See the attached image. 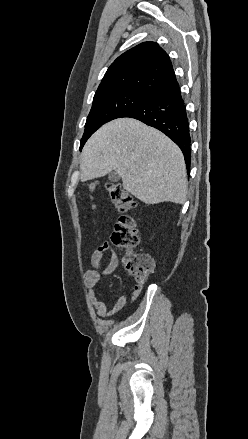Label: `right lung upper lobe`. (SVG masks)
I'll use <instances>...</instances> for the list:
<instances>
[{
	"label": "right lung upper lobe",
	"mask_w": 248,
	"mask_h": 439,
	"mask_svg": "<svg viewBox=\"0 0 248 439\" xmlns=\"http://www.w3.org/2000/svg\"><path fill=\"white\" fill-rule=\"evenodd\" d=\"M176 81L167 53L143 42L119 56L105 73L94 98L121 91L152 95Z\"/></svg>",
	"instance_id": "obj_1"
}]
</instances>
